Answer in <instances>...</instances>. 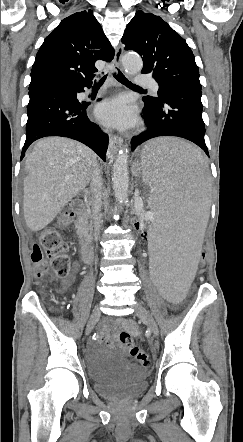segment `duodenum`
<instances>
[{
	"mask_svg": "<svg viewBox=\"0 0 243 442\" xmlns=\"http://www.w3.org/2000/svg\"><path fill=\"white\" fill-rule=\"evenodd\" d=\"M77 219L75 222V228L80 235L85 234V227L88 219V212L85 205L77 203ZM81 259L84 263H91L93 259V253L90 245L83 241L81 249Z\"/></svg>",
	"mask_w": 243,
	"mask_h": 442,
	"instance_id": "duodenum-1",
	"label": "duodenum"
}]
</instances>
